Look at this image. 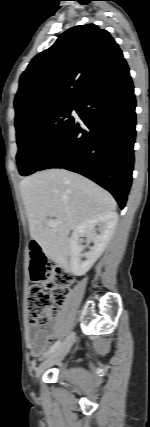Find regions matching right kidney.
<instances>
[{
	"instance_id": "obj_1",
	"label": "right kidney",
	"mask_w": 150,
	"mask_h": 427,
	"mask_svg": "<svg viewBox=\"0 0 150 427\" xmlns=\"http://www.w3.org/2000/svg\"><path fill=\"white\" fill-rule=\"evenodd\" d=\"M118 214L110 212L80 223L73 231L70 242V268L76 276L87 273L104 252L117 225ZM96 226L98 229L96 230ZM98 231V233H97ZM87 236L94 246L89 252L82 253L80 237ZM83 258H85L83 260Z\"/></svg>"
}]
</instances>
